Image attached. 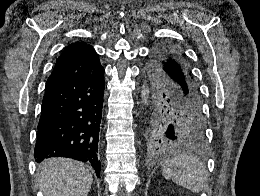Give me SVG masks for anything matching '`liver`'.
Here are the masks:
<instances>
[{
    "instance_id": "obj_1",
    "label": "liver",
    "mask_w": 260,
    "mask_h": 196,
    "mask_svg": "<svg viewBox=\"0 0 260 196\" xmlns=\"http://www.w3.org/2000/svg\"><path fill=\"white\" fill-rule=\"evenodd\" d=\"M38 178L44 196H88L93 178L82 162L50 158L40 166Z\"/></svg>"
}]
</instances>
